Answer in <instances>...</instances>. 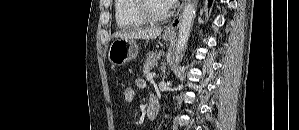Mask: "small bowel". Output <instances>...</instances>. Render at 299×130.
I'll use <instances>...</instances> for the list:
<instances>
[{
	"label": "small bowel",
	"mask_w": 299,
	"mask_h": 130,
	"mask_svg": "<svg viewBox=\"0 0 299 130\" xmlns=\"http://www.w3.org/2000/svg\"><path fill=\"white\" fill-rule=\"evenodd\" d=\"M137 84H138L139 86L143 87L145 83H144L143 80L138 79V80H137Z\"/></svg>",
	"instance_id": "c3829d8e"
}]
</instances>
